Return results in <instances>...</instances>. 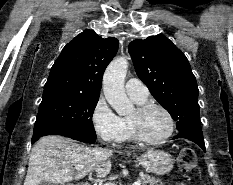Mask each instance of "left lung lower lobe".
Returning a JSON list of instances; mask_svg holds the SVG:
<instances>
[{
	"mask_svg": "<svg viewBox=\"0 0 233 185\" xmlns=\"http://www.w3.org/2000/svg\"><path fill=\"white\" fill-rule=\"evenodd\" d=\"M176 138H186L189 139L196 144H198L204 151L205 150V144L204 139L202 135V130L200 127L191 128L185 131L180 132L174 139Z\"/></svg>",
	"mask_w": 233,
	"mask_h": 185,
	"instance_id": "left-lung-lower-lobe-1",
	"label": "left lung lower lobe"
}]
</instances>
